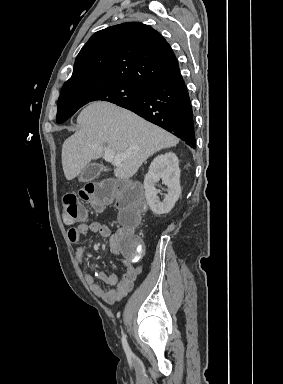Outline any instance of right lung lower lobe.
I'll use <instances>...</instances> for the list:
<instances>
[{
	"label": "right lung lower lobe",
	"instance_id": "right-lung-lower-lobe-1",
	"mask_svg": "<svg viewBox=\"0 0 283 384\" xmlns=\"http://www.w3.org/2000/svg\"><path fill=\"white\" fill-rule=\"evenodd\" d=\"M196 146L192 106L180 72L153 82L137 99L117 104Z\"/></svg>",
	"mask_w": 283,
	"mask_h": 384
}]
</instances>
